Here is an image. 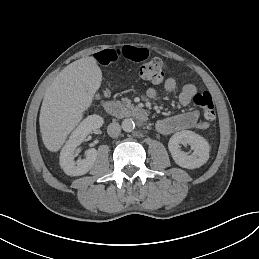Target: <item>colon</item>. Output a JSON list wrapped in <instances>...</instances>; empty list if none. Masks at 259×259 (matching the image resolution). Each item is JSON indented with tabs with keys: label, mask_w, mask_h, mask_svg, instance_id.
Returning <instances> with one entry per match:
<instances>
[{
	"label": "colon",
	"mask_w": 259,
	"mask_h": 259,
	"mask_svg": "<svg viewBox=\"0 0 259 259\" xmlns=\"http://www.w3.org/2000/svg\"><path fill=\"white\" fill-rule=\"evenodd\" d=\"M140 77L152 84H159L164 79V64L159 58H153L143 63L139 69ZM194 102L203 110L204 117L207 121L211 122L215 119V109L213 99L209 92L196 93Z\"/></svg>",
	"instance_id": "5ec220e1"
}]
</instances>
